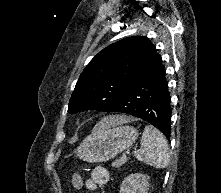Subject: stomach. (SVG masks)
<instances>
[{
    "label": "stomach",
    "mask_w": 221,
    "mask_h": 193,
    "mask_svg": "<svg viewBox=\"0 0 221 193\" xmlns=\"http://www.w3.org/2000/svg\"><path fill=\"white\" fill-rule=\"evenodd\" d=\"M138 137L132 126L101 128L97 125L76 150L77 156L86 162H105L130 148Z\"/></svg>",
    "instance_id": "stomach-1"
}]
</instances>
